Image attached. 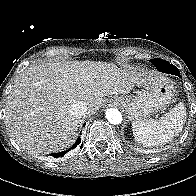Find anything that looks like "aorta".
Masks as SVG:
<instances>
[{"instance_id": "obj_1", "label": "aorta", "mask_w": 196, "mask_h": 196, "mask_svg": "<svg viewBox=\"0 0 196 196\" xmlns=\"http://www.w3.org/2000/svg\"><path fill=\"white\" fill-rule=\"evenodd\" d=\"M105 115L107 120L114 125L120 124L123 119L121 113L116 108L107 109Z\"/></svg>"}]
</instances>
